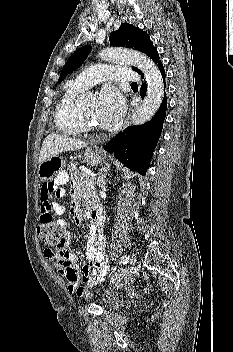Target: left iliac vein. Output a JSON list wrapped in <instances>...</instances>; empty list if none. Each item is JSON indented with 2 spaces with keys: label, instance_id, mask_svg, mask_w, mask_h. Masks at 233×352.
Listing matches in <instances>:
<instances>
[{
  "label": "left iliac vein",
  "instance_id": "4c4485c4",
  "mask_svg": "<svg viewBox=\"0 0 233 352\" xmlns=\"http://www.w3.org/2000/svg\"><path fill=\"white\" fill-rule=\"evenodd\" d=\"M136 262H137L136 257H135L134 255H131L130 258H129V263H130L131 265H135Z\"/></svg>",
  "mask_w": 233,
  "mask_h": 352
}]
</instances>
